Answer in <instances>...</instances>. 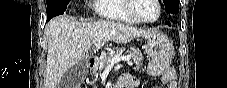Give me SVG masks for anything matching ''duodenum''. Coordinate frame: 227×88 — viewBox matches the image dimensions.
Masks as SVG:
<instances>
[{
    "label": "duodenum",
    "instance_id": "1",
    "mask_svg": "<svg viewBox=\"0 0 227 88\" xmlns=\"http://www.w3.org/2000/svg\"><path fill=\"white\" fill-rule=\"evenodd\" d=\"M97 62H98L97 58H90L87 60L86 64H87V67L93 68L97 64ZM122 83H123V80H120L119 84L116 87L120 88Z\"/></svg>",
    "mask_w": 227,
    "mask_h": 88
}]
</instances>
